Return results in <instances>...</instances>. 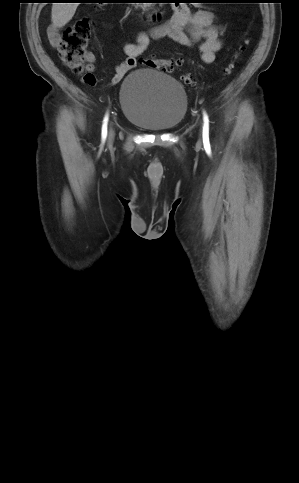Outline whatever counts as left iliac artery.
<instances>
[{
  "label": "left iliac artery",
  "mask_w": 299,
  "mask_h": 483,
  "mask_svg": "<svg viewBox=\"0 0 299 483\" xmlns=\"http://www.w3.org/2000/svg\"><path fill=\"white\" fill-rule=\"evenodd\" d=\"M208 136H209V120L206 113H204L203 137L208 138Z\"/></svg>",
  "instance_id": "left-iliac-artery-1"
}]
</instances>
